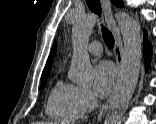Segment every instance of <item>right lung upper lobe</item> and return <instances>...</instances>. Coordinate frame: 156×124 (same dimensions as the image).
<instances>
[{"mask_svg":"<svg viewBox=\"0 0 156 124\" xmlns=\"http://www.w3.org/2000/svg\"><path fill=\"white\" fill-rule=\"evenodd\" d=\"M55 52H56V43H54V45H53V47H52V50H51V52H50V55H49V57H48V60H47V63H46V65H45V68H44V70H43L42 75H48V74H49L50 69H51V66H52V61H53Z\"/></svg>","mask_w":156,"mask_h":124,"instance_id":"obj_1","label":"right lung upper lobe"}]
</instances>
